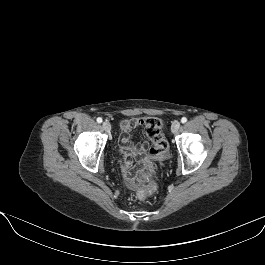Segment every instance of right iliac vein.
<instances>
[{"label": "right iliac vein", "instance_id": "1", "mask_svg": "<svg viewBox=\"0 0 265 265\" xmlns=\"http://www.w3.org/2000/svg\"><path fill=\"white\" fill-rule=\"evenodd\" d=\"M103 129L106 131V132H110L111 130V124L108 122V121H104L103 124Z\"/></svg>", "mask_w": 265, "mask_h": 265}]
</instances>
